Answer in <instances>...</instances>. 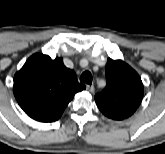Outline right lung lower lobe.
Wrapping results in <instances>:
<instances>
[{
    "mask_svg": "<svg viewBox=\"0 0 165 154\" xmlns=\"http://www.w3.org/2000/svg\"><path fill=\"white\" fill-rule=\"evenodd\" d=\"M62 113H63V111L59 112V113H57V114H55V115H53L51 117L43 119L40 122H54V121L58 120L61 117Z\"/></svg>",
    "mask_w": 165,
    "mask_h": 154,
    "instance_id": "98d812e1",
    "label": "right lung lower lobe"
}]
</instances>
